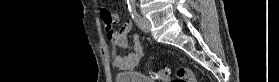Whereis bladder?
<instances>
[{"instance_id": "31cf9c89", "label": "bladder", "mask_w": 279, "mask_h": 82, "mask_svg": "<svg viewBox=\"0 0 279 82\" xmlns=\"http://www.w3.org/2000/svg\"><path fill=\"white\" fill-rule=\"evenodd\" d=\"M115 80L116 82H153L146 75L137 72L118 73Z\"/></svg>"}]
</instances>
